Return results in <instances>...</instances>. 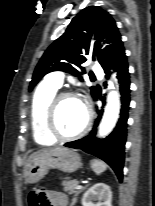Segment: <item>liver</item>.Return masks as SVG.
<instances>
[{
	"label": "liver",
	"mask_w": 155,
	"mask_h": 206,
	"mask_svg": "<svg viewBox=\"0 0 155 206\" xmlns=\"http://www.w3.org/2000/svg\"><path fill=\"white\" fill-rule=\"evenodd\" d=\"M45 150H51V149H44V150H41V151H45ZM40 152V151H39ZM38 153V152H37ZM36 153L32 154L30 157H29V161L32 159V157L35 155Z\"/></svg>",
	"instance_id": "obj_1"
}]
</instances>
